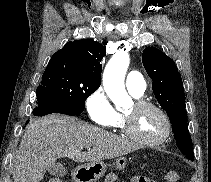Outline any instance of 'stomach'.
I'll return each instance as SVG.
<instances>
[{
	"label": "stomach",
	"instance_id": "0dacf381",
	"mask_svg": "<svg viewBox=\"0 0 211 182\" xmlns=\"http://www.w3.org/2000/svg\"><path fill=\"white\" fill-rule=\"evenodd\" d=\"M127 165V159L125 157H119L113 163L116 169L122 170ZM107 164L100 162H90L84 165L78 166L72 173L75 182H97L105 175Z\"/></svg>",
	"mask_w": 211,
	"mask_h": 182
}]
</instances>
